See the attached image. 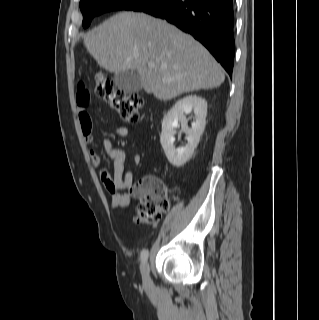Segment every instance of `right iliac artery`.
Instances as JSON below:
<instances>
[{"label": "right iliac artery", "mask_w": 319, "mask_h": 320, "mask_svg": "<svg viewBox=\"0 0 319 320\" xmlns=\"http://www.w3.org/2000/svg\"><path fill=\"white\" fill-rule=\"evenodd\" d=\"M148 255H149V252L147 249H144L142 252H141V261L143 263H145L148 259Z\"/></svg>", "instance_id": "82829eb1"}]
</instances>
